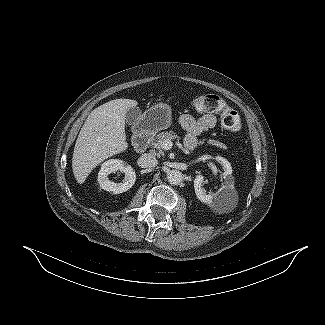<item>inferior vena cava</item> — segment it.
Returning <instances> with one entry per match:
<instances>
[{
  "label": "inferior vena cava",
  "mask_w": 325,
  "mask_h": 325,
  "mask_svg": "<svg viewBox=\"0 0 325 325\" xmlns=\"http://www.w3.org/2000/svg\"><path fill=\"white\" fill-rule=\"evenodd\" d=\"M140 163L145 168H154L158 164V160L150 153H144L140 157Z\"/></svg>",
  "instance_id": "1"
}]
</instances>
